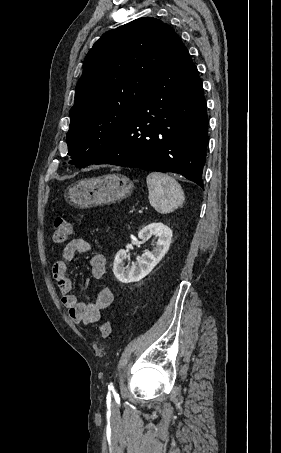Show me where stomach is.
<instances>
[{"instance_id":"obj_1","label":"stomach","mask_w":281,"mask_h":453,"mask_svg":"<svg viewBox=\"0 0 281 453\" xmlns=\"http://www.w3.org/2000/svg\"><path fill=\"white\" fill-rule=\"evenodd\" d=\"M134 184L123 174H103L82 178L66 190V198L78 208L111 204L131 194Z\"/></svg>"}]
</instances>
